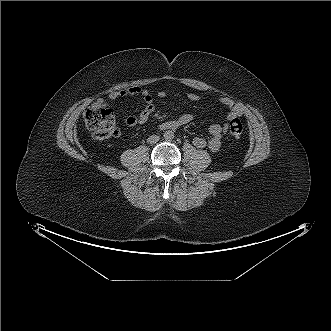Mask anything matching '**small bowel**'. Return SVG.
Masks as SVG:
<instances>
[{"label":"small bowel","mask_w":331,"mask_h":331,"mask_svg":"<svg viewBox=\"0 0 331 331\" xmlns=\"http://www.w3.org/2000/svg\"><path fill=\"white\" fill-rule=\"evenodd\" d=\"M168 95L167 91L160 90L157 93V97L165 98ZM128 96H140L145 103L144 108L137 115H129L125 119V123L129 127H135L137 125H142L146 123L151 116V114L155 111L156 105L153 96L147 91L143 90L140 87H130L124 88L120 90L110 91L107 95L108 99L116 100L119 98H124ZM189 100L199 102L202 100V96L196 93H190L187 95ZM217 101L228 107L229 112L226 115V121L230 122L233 119L240 117L243 114V108L240 104L234 102L231 98L227 96H220L217 98ZM106 103L103 99L96 100L92 106L100 108L105 106ZM197 118V114L194 112H185L183 113L177 120H175L179 126L186 125L191 123ZM165 122L160 124V128L163 129V125ZM226 126H222L221 124L215 123L209 127L210 137L206 140L203 137L196 136L193 138V144L198 148L208 147L211 151L217 152L221 148L222 145V137L226 132Z\"/></svg>","instance_id":"1"}]
</instances>
